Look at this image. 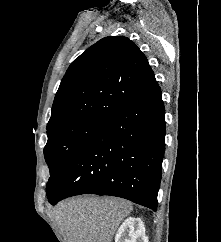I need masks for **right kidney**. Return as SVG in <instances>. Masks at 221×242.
<instances>
[{
    "instance_id": "right-kidney-1",
    "label": "right kidney",
    "mask_w": 221,
    "mask_h": 242,
    "mask_svg": "<svg viewBox=\"0 0 221 242\" xmlns=\"http://www.w3.org/2000/svg\"><path fill=\"white\" fill-rule=\"evenodd\" d=\"M115 242H148L143 221L140 218H127L119 227Z\"/></svg>"
}]
</instances>
